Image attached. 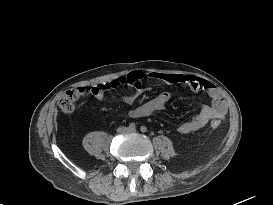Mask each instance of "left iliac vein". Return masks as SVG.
<instances>
[{"instance_id":"4c4485c4","label":"left iliac vein","mask_w":273,"mask_h":205,"mask_svg":"<svg viewBox=\"0 0 273 205\" xmlns=\"http://www.w3.org/2000/svg\"><path fill=\"white\" fill-rule=\"evenodd\" d=\"M128 132H130V133H135V132H136V129H129Z\"/></svg>"}]
</instances>
